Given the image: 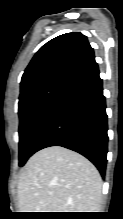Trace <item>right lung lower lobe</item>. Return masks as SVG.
<instances>
[{
  "label": "right lung lower lobe",
  "mask_w": 123,
  "mask_h": 219,
  "mask_svg": "<svg viewBox=\"0 0 123 219\" xmlns=\"http://www.w3.org/2000/svg\"><path fill=\"white\" fill-rule=\"evenodd\" d=\"M97 63L71 78L34 143V153L62 146L89 159L105 176L107 114Z\"/></svg>",
  "instance_id": "obj_1"
}]
</instances>
